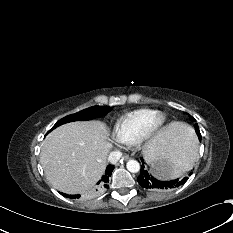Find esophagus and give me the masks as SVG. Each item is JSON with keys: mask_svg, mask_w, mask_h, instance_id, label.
Segmentation results:
<instances>
[{"mask_svg": "<svg viewBox=\"0 0 233 233\" xmlns=\"http://www.w3.org/2000/svg\"><path fill=\"white\" fill-rule=\"evenodd\" d=\"M129 159V156L128 155H124L123 156V160L127 161Z\"/></svg>", "mask_w": 233, "mask_h": 233, "instance_id": "obj_1", "label": "esophagus"}]
</instances>
